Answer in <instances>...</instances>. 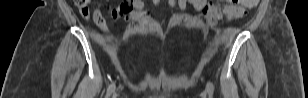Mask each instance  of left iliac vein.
Here are the masks:
<instances>
[{
	"mask_svg": "<svg viewBox=\"0 0 308 98\" xmlns=\"http://www.w3.org/2000/svg\"><path fill=\"white\" fill-rule=\"evenodd\" d=\"M203 97H204V98H207V97H206V92H205V91L203 92Z\"/></svg>",
	"mask_w": 308,
	"mask_h": 98,
	"instance_id": "1",
	"label": "left iliac vein"
}]
</instances>
